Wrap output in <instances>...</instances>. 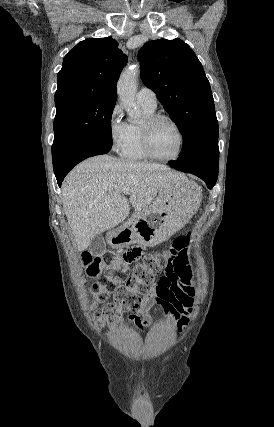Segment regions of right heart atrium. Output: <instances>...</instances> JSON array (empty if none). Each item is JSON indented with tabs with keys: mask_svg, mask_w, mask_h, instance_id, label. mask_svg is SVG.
I'll list each match as a JSON object with an SVG mask.
<instances>
[{
	"mask_svg": "<svg viewBox=\"0 0 274 427\" xmlns=\"http://www.w3.org/2000/svg\"><path fill=\"white\" fill-rule=\"evenodd\" d=\"M107 135L113 151H119L127 136V124L122 120L119 106H114L107 116Z\"/></svg>",
	"mask_w": 274,
	"mask_h": 427,
	"instance_id": "1",
	"label": "right heart atrium"
}]
</instances>
